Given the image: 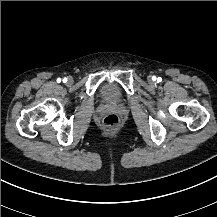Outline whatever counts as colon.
Returning <instances> with one entry per match:
<instances>
[{
	"mask_svg": "<svg viewBox=\"0 0 217 217\" xmlns=\"http://www.w3.org/2000/svg\"><path fill=\"white\" fill-rule=\"evenodd\" d=\"M104 124L108 128L114 129L119 125V118L115 114H109L105 117Z\"/></svg>",
	"mask_w": 217,
	"mask_h": 217,
	"instance_id": "1",
	"label": "colon"
}]
</instances>
